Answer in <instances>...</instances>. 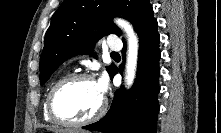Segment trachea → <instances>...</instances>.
Wrapping results in <instances>:
<instances>
[{
  "mask_svg": "<svg viewBox=\"0 0 221 133\" xmlns=\"http://www.w3.org/2000/svg\"><path fill=\"white\" fill-rule=\"evenodd\" d=\"M111 56H114V57H115V56H120V55H119V53H117V52H113V53H111Z\"/></svg>",
  "mask_w": 221,
  "mask_h": 133,
  "instance_id": "obj_1",
  "label": "trachea"
}]
</instances>
